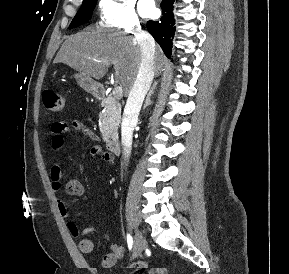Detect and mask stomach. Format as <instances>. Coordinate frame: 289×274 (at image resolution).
I'll list each match as a JSON object with an SVG mask.
<instances>
[{
  "label": "stomach",
  "mask_w": 289,
  "mask_h": 274,
  "mask_svg": "<svg viewBox=\"0 0 289 274\" xmlns=\"http://www.w3.org/2000/svg\"><path fill=\"white\" fill-rule=\"evenodd\" d=\"M78 85L90 94H96L98 92V83L91 77L86 76L82 73H76L74 75Z\"/></svg>",
  "instance_id": "stomach-1"
}]
</instances>
